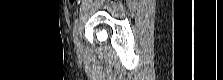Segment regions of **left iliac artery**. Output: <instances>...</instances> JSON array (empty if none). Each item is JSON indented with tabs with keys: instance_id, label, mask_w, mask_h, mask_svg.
Here are the masks:
<instances>
[{
	"instance_id": "44dca946",
	"label": "left iliac artery",
	"mask_w": 223,
	"mask_h": 80,
	"mask_svg": "<svg viewBox=\"0 0 223 80\" xmlns=\"http://www.w3.org/2000/svg\"><path fill=\"white\" fill-rule=\"evenodd\" d=\"M78 26H79V20L78 18L75 20L73 25V36H77L78 34Z\"/></svg>"
}]
</instances>
